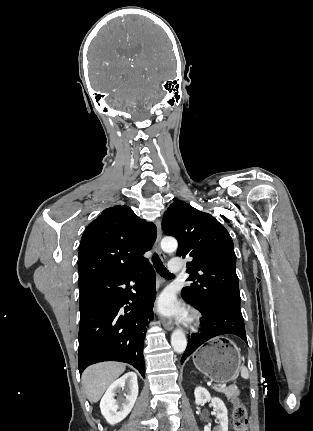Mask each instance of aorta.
Returning a JSON list of instances; mask_svg holds the SVG:
<instances>
[{
  "label": "aorta",
  "instance_id": "1",
  "mask_svg": "<svg viewBox=\"0 0 313 431\" xmlns=\"http://www.w3.org/2000/svg\"><path fill=\"white\" fill-rule=\"evenodd\" d=\"M177 241L172 237H165L161 241V248L164 252H174L177 249ZM171 345L177 353L185 351L187 346V340L182 330H175L171 335Z\"/></svg>",
  "mask_w": 313,
  "mask_h": 431
}]
</instances>
